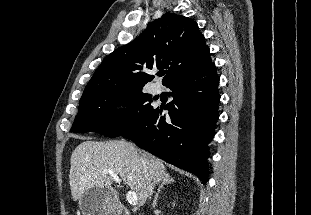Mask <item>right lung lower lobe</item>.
<instances>
[{"label":"right lung lower lobe","mask_w":311,"mask_h":215,"mask_svg":"<svg viewBox=\"0 0 311 215\" xmlns=\"http://www.w3.org/2000/svg\"><path fill=\"white\" fill-rule=\"evenodd\" d=\"M219 77L211 61L199 70L180 76L166 87L173 100L153 108L136 126L121 136L155 156L191 172L202 183L208 178V144L218 119Z\"/></svg>","instance_id":"1"}]
</instances>
